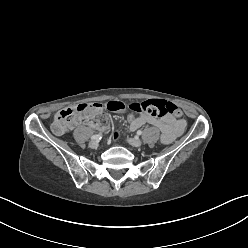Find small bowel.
<instances>
[{
    "label": "small bowel",
    "mask_w": 248,
    "mask_h": 248,
    "mask_svg": "<svg viewBox=\"0 0 248 248\" xmlns=\"http://www.w3.org/2000/svg\"><path fill=\"white\" fill-rule=\"evenodd\" d=\"M146 124L156 127L161 132V142L163 144H169L174 141L182 134L185 127V121L183 119L176 120L172 116L156 118L141 114L139 116H135V120L132 121L131 125H129V129L130 131H135ZM111 141L114 145L120 144L118 130L112 131Z\"/></svg>",
    "instance_id": "obj_1"
}]
</instances>
